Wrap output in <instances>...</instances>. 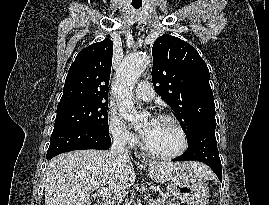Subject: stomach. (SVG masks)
<instances>
[{"instance_id": "1", "label": "stomach", "mask_w": 269, "mask_h": 205, "mask_svg": "<svg viewBox=\"0 0 269 205\" xmlns=\"http://www.w3.org/2000/svg\"><path fill=\"white\" fill-rule=\"evenodd\" d=\"M170 180L171 194L181 203L206 205L209 189L203 178L190 171L180 170L173 173Z\"/></svg>"}]
</instances>
